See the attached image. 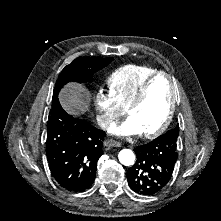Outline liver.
<instances>
[{"label": "liver", "mask_w": 221, "mask_h": 221, "mask_svg": "<svg viewBox=\"0 0 221 221\" xmlns=\"http://www.w3.org/2000/svg\"><path fill=\"white\" fill-rule=\"evenodd\" d=\"M89 93L78 84L67 85L59 94L63 108L71 114H83L89 109Z\"/></svg>", "instance_id": "6515ba94"}]
</instances>
